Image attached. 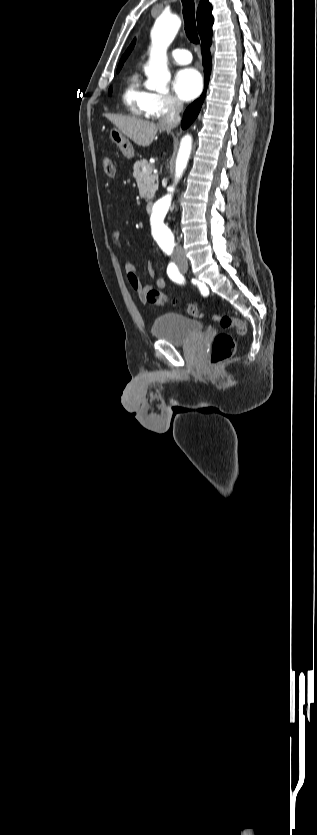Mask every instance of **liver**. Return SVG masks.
I'll use <instances>...</instances> for the list:
<instances>
[{
  "label": "liver",
  "instance_id": "obj_1",
  "mask_svg": "<svg viewBox=\"0 0 317 835\" xmlns=\"http://www.w3.org/2000/svg\"><path fill=\"white\" fill-rule=\"evenodd\" d=\"M105 117L134 143L143 147L149 146L157 132L164 130L159 123L155 124L141 119L114 114H105Z\"/></svg>",
  "mask_w": 317,
  "mask_h": 835
}]
</instances>
